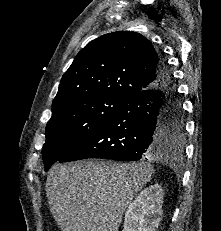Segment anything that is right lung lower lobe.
Segmentation results:
<instances>
[{"label": "right lung lower lobe", "instance_id": "98d812e1", "mask_svg": "<svg viewBox=\"0 0 221 231\" xmlns=\"http://www.w3.org/2000/svg\"><path fill=\"white\" fill-rule=\"evenodd\" d=\"M158 74L155 85L126 99L95 133L59 162L87 158L137 161L173 148L163 135L168 121L166 110L180 102L163 57Z\"/></svg>", "mask_w": 221, "mask_h": 231}]
</instances>
